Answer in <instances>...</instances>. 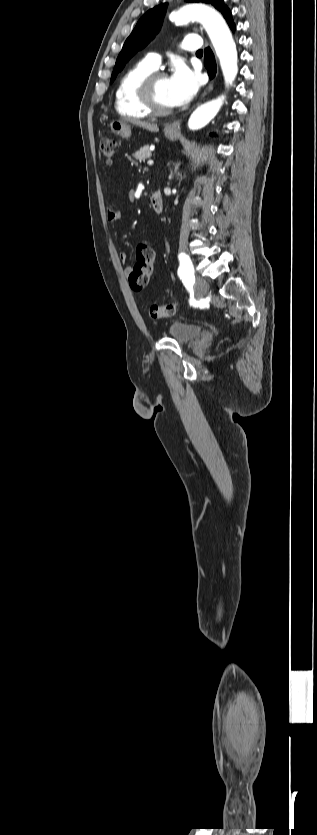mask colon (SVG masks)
<instances>
[{"instance_id":"1","label":"colon","mask_w":317,"mask_h":835,"mask_svg":"<svg viewBox=\"0 0 317 835\" xmlns=\"http://www.w3.org/2000/svg\"><path fill=\"white\" fill-rule=\"evenodd\" d=\"M116 141L109 137H104L100 143V151L106 160H111L116 152ZM153 272V263L144 259H138L133 266L128 282L130 288L134 291H142L149 284ZM149 317L153 319L169 318L176 312L174 304H150L147 308Z\"/></svg>"}]
</instances>
